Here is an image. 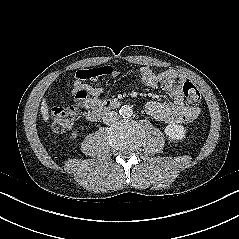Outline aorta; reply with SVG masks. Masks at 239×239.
Listing matches in <instances>:
<instances>
[{"mask_svg": "<svg viewBox=\"0 0 239 239\" xmlns=\"http://www.w3.org/2000/svg\"><path fill=\"white\" fill-rule=\"evenodd\" d=\"M119 114L123 117V118H129L133 115V109L131 106L129 105H124L120 108L119 110Z\"/></svg>", "mask_w": 239, "mask_h": 239, "instance_id": "aorta-1", "label": "aorta"}]
</instances>
